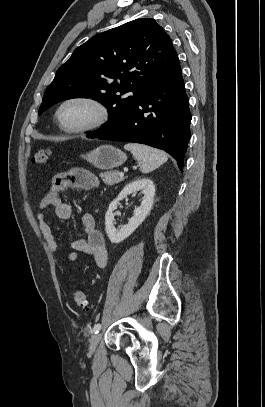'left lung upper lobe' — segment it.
<instances>
[{
  "label": "left lung upper lobe",
  "mask_w": 265,
  "mask_h": 407,
  "mask_svg": "<svg viewBox=\"0 0 265 407\" xmlns=\"http://www.w3.org/2000/svg\"><path fill=\"white\" fill-rule=\"evenodd\" d=\"M180 67L171 38L154 19H136L76 48L48 86L39 115L71 98H92L109 110L104 134L126 119L150 87Z\"/></svg>",
  "instance_id": "obj_1"
}]
</instances>
